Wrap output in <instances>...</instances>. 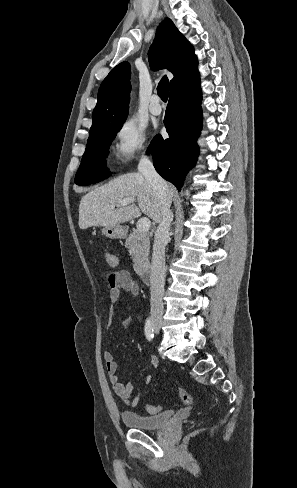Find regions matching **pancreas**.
I'll return each instance as SVG.
<instances>
[{
	"label": "pancreas",
	"mask_w": 297,
	"mask_h": 488,
	"mask_svg": "<svg viewBox=\"0 0 297 488\" xmlns=\"http://www.w3.org/2000/svg\"><path fill=\"white\" fill-rule=\"evenodd\" d=\"M126 247L132 252L134 270L136 273L141 272L149 265L150 240L146 232H140L137 229L126 239Z\"/></svg>",
	"instance_id": "pancreas-1"
}]
</instances>
